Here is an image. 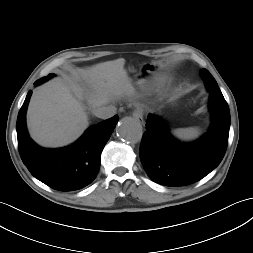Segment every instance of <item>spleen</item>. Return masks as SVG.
<instances>
[{
  "label": "spleen",
  "mask_w": 253,
  "mask_h": 253,
  "mask_svg": "<svg viewBox=\"0 0 253 253\" xmlns=\"http://www.w3.org/2000/svg\"><path fill=\"white\" fill-rule=\"evenodd\" d=\"M173 134L181 140H193L200 135V129L197 127L178 128Z\"/></svg>",
  "instance_id": "1"
}]
</instances>
